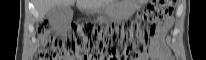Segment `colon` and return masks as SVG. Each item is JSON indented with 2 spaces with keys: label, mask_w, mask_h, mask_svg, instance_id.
Listing matches in <instances>:
<instances>
[{
  "label": "colon",
  "mask_w": 206,
  "mask_h": 60,
  "mask_svg": "<svg viewBox=\"0 0 206 60\" xmlns=\"http://www.w3.org/2000/svg\"><path fill=\"white\" fill-rule=\"evenodd\" d=\"M175 1H150L135 22L110 25L104 29L91 24H73L69 35L56 37L47 20L38 24L39 60H136L146 50L150 33L173 13Z\"/></svg>",
  "instance_id": "colon-1"
}]
</instances>
